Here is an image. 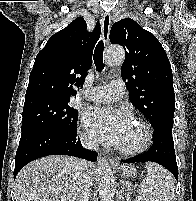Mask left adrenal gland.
Wrapping results in <instances>:
<instances>
[{
    "label": "left adrenal gland",
    "mask_w": 196,
    "mask_h": 201,
    "mask_svg": "<svg viewBox=\"0 0 196 201\" xmlns=\"http://www.w3.org/2000/svg\"><path fill=\"white\" fill-rule=\"evenodd\" d=\"M120 199H121V201H123L124 199H123V197H122V193L124 192V183H122L121 184V187H120Z\"/></svg>",
    "instance_id": "1"
}]
</instances>
